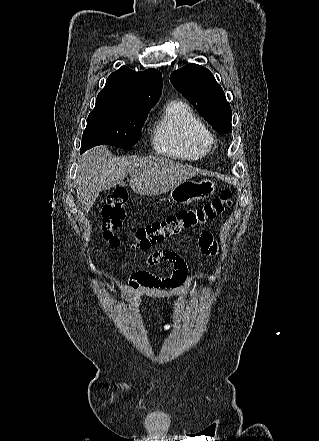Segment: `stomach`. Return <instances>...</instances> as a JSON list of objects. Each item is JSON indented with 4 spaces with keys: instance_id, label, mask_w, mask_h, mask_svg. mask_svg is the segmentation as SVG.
Instances as JSON below:
<instances>
[{
    "instance_id": "0dacf381",
    "label": "stomach",
    "mask_w": 319,
    "mask_h": 441,
    "mask_svg": "<svg viewBox=\"0 0 319 441\" xmlns=\"http://www.w3.org/2000/svg\"><path fill=\"white\" fill-rule=\"evenodd\" d=\"M216 191V183L210 179L200 181L185 180L170 190L169 200L185 205L196 200L206 199Z\"/></svg>"
}]
</instances>
